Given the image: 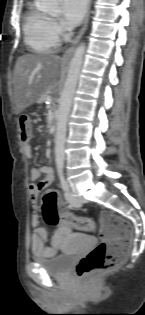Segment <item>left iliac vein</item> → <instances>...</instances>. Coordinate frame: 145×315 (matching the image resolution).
Instances as JSON below:
<instances>
[{
    "label": "left iliac vein",
    "instance_id": "left-iliac-vein-1",
    "mask_svg": "<svg viewBox=\"0 0 145 315\" xmlns=\"http://www.w3.org/2000/svg\"><path fill=\"white\" fill-rule=\"evenodd\" d=\"M66 200L75 207H80L82 205V199L79 197H76L73 193V191H66L65 193Z\"/></svg>",
    "mask_w": 145,
    "mask_h": 315
}]
</instances>
